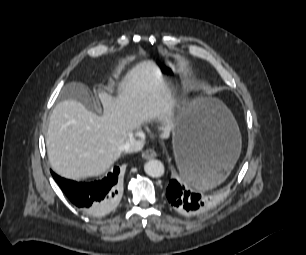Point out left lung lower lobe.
<instances>
[{
  "label": "left lung lower lobe",
  "instance_id": "0a47b994",
  "mask_svg": "<svg viewBox=\"0 0 306 255\" xmlns=\"http://www.w3.org/2000/svg\"><path fill=\"white\" fill-rule=\"evenodd\" d=\"M209 172L210 168L207 164L191 155L186 154L184 156L181 165L183 179H204L208 176ZM166 197L172 209L186 216L198 215L204 212L210 205L208 197L186 189L176 179H172L169 182Z\"/></svg>",
  "mask_w": 306,
  "mask_h": 255
}]
</instances>
